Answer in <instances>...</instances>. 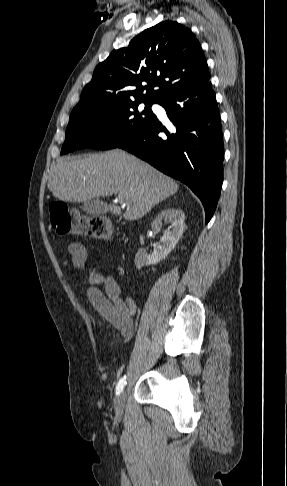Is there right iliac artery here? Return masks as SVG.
I'll return each mask as SVG.
<instances>
[{
  "mask_svg": "<svg viewBox=\"0 0 287 486\" xmlns=\"http://www.w3.org/2000/svg\"><path fill=\"white\" fill-rule=\"evenodd\" d=\"M125 385H126V377L124 376L117 383V386H116V394H120V392L123 390V388H124Z\"/></svg>",
  "mask_w": 287,
  "mask_h": 486,
  "instance_id": "1",
  "label": "right iliac artery"
}]
</instances>
